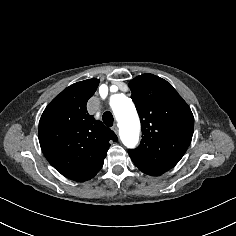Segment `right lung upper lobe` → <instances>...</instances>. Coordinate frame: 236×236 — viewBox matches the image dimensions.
Instances as JSON below:
<instances>
[{
    "label": "right lung upper lobe",
    "mask_w": 236,
    "mask_h": 236,
    "mask_svg": "<svg viewBox=\"0 0 236 236\" xmlns=\"http://www.w3.org/2000/svg\"><path fill=\"white\" fill-rule=\"evenodd\" d=\"M98 84V79H89L67 87L46 107L39 122L38 138L45 157L62 175L78 182L99 172L109 141H117L111 129L87 112V101Z\"/></svg>",
    "instance_id": "cb5924a9"
}]
</instances>
